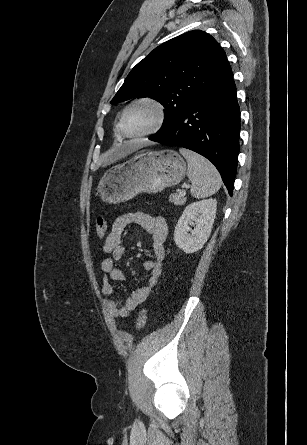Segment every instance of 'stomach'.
Segmentation results:
<instances>
[{"label": "stomach", "mask_w": 307, "mask_h": 445, "mask_svg": "<svg viewBox=\"0 0 307 445\" xmlns=\"http://www.w3.org/2000/svg\"><path fill=\"white\" fill-rule=\"evenodd\" d=\"M187 164L175 150H139L103 174L98 192L104 202H125L140 192H161L183 180Z\"/></svg>", "instance_id": "1"}]
</instances>
